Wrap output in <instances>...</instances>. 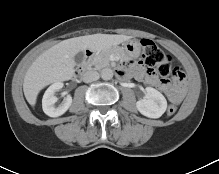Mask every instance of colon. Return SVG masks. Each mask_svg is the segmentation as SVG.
I'll list each match as a JSON object with an SVG mask.
<instances>
[{
  "label": "colon",
  "mask_w": 219,
  "mask_h": 174,
  "mask_svg": "<svg viewBox=\"0 0 219 174\" xmlns=\"http://www.w3.org/2000/svg\"><path fill=\"white\" fill-rule=\"evenodd\" d=\"M141 46L143 48L144 63L153 68L160 77L172 76L180 82L185 81L184 73L178 68H172L170 58L153 41L142 39ZM176 111L177 107L175 105H169L167 115L173 116Z\"/></svg>",
  "instance_id": "colon-1"
}]
</instances>
